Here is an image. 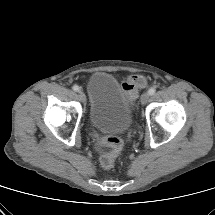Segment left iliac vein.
I'll return each mask as SVG.
<instances>
[{"instance_id": "obj_1", "label": "left iliac vein", "mask_w": 215, "mask_h": 215, "mask_svg": "<svg viewBox=\"0 0 215 215\" xmlns=\"http://www.w3.org/2000/svg\"><path fill=\"white\" fill-rule=\"evenodd\" d=\"M149 97H150L149 93L147 92L143 93L141 96V104L143 105L147 104L149 101Z\"/></svg>"}]
</instances>
